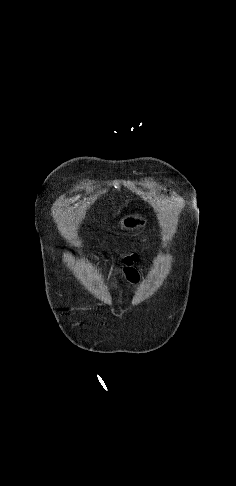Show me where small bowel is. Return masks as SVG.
I'll return each mask as SVG.
<instances>
[{"label": "small bowel", "instance_id": "1", "mask_svg": "<svg viewBox=\"0 0 236 486\" xmlns=\"http://www.w3.org/2000/svg\"><path fill=\"white\" fill-rule=\"evenodd\" d=\"M135 261V258L133 257H128L125 260V267H124V275L128 281L131 283H135L139 280L140 274L139 271L133 266V262Z\"/></svg>", "mask_w": 236, "mask_h": 486}]
</instances>
